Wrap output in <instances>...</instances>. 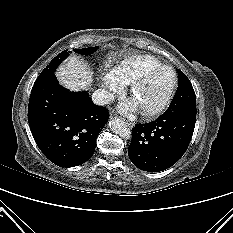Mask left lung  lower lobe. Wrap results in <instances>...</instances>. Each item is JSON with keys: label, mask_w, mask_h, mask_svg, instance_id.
Segmentation results:
<instances>
[{"label": "left lung lower lobe", "mask_w": 233, "mask_h": 233, "mask_svg": "<svg viewBox=\"0 0 233 233\" xmlns=\"http://www.w3.org/2000/svg\"><path fill=\"white\" fill-rule=\"evenodd\" d=\"M196 122V110L169 111L155 121L136 124L128 156L143 171L159 172L174 165L186 152Z\"/></svg>", "instance_id": "0a47b994"}]
</instances>
